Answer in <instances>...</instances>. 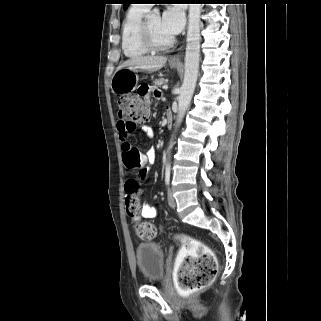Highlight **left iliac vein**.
<instances>
[{
	"label": "left iliac vein",
	"mask_w": 321,
	"mask_h": 321,
	"mask_svg": "<svg viewBox=\"0 0 321 321\" xmlns=\"http://www.w3.org/2000/svg\"><path fill=\"white\" fill-rule=\"evenodd\" d=\"M168 204L171 208L176 207L175 198L173 197L171 190L168 191Z\"/></svg>",
	"instance_id": "left-iliac-vein-1"
}]
</instances>
